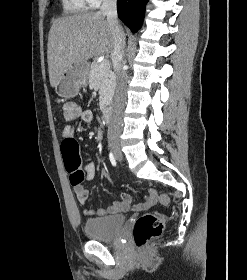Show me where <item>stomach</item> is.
I'll return each instance as SVG.
<instances>
[{
	"instance_id": "stomach-1",
	"label": "stomach",
	"mask_w": 247,
	"mask_h": 280,
	"mask_svg": "<svg viewBox=\"0 0 247 280\" xmlns=\"http://www.w3.org/2000/svg\"><path fill=\"white\" fill-rule=\"evenodd\" d=\"M89 63L81 61L74 63L61 77L56 92L62 98L75 97L82 87L87 85Z\"/></svg>"
}]
</instances>
